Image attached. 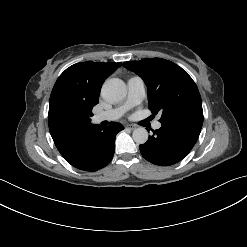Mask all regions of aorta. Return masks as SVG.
<instances>
[{
  "mask_svg": "<svg viewBox=\"0 0 247 247\" xmlns=\"http://www.w3.org/2000/svg\"><path fill=\"white\" fill-rule=\"evenodd\" d=\"M102 95L110 102H119L127 95L126 85L119 78H110L102 86ZM132 137L137 144H144L148 140V132L145 128L139 127L133 131Z\"/></svg>",
  "mask_w": 247,
  "mask_h": 247,
  "instance_id": "obj_1",
  "label": "aorta"
}]
</instances>
